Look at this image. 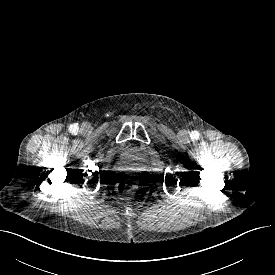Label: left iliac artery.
Segmentation results:
<instances>
[{
    "label": "left iliac artery",
    "instance_id": "obj_1",
    "mask_svg": "<svg viewBox=\"0 0 275 275\" xmlns=\"http://www.w3.org/2000/svg\"><path fill=\"white\" fill-rule=\"evenodd\" d=\"M191 138H193V139H198V138H199V133H198L197 131H193V132L191 133Z\"/></svg>",
    "mask_w": 275,
    "mask_h": 275
}]
</instances>
